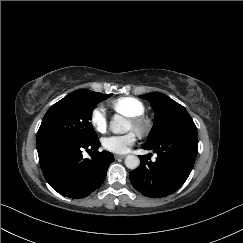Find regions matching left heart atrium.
Returning <instances> with one entry per match:
<instances>
[{
	"label": "left heart atrium",
	"mask_w": 243,
	"mask_h": 243,
	"mask_svg": "<svg viewBox=\"0 0 243 243\" xmlns=\"http://www.w3.org/2000/svg\"><path fill=\"white\" fill-rule=\"evenodd\" d=\"M136 142V135L134 132H128L124 135H110L103 139V146L105 149L115 153H125L129 151L130 147Z\"/></svg>",
	"instance_id": "obj_1"
}]
</instances>
